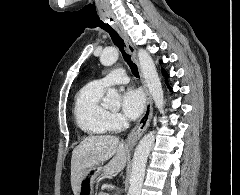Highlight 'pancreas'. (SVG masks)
Segmentation results:
<instances>
[{
    "mask_svg": "<svg viewBox=\"0 0 240 195\" xmlns=\"http://www.w3.org/2000/svg\"><path fill=\"white\" fill-rule=\"evenodd\" d=\"M99 195H109V193H104V191H101V193H99Z\"/></svg>",
    "mask_w": 240,
    "mask_h": 195,
    "instance_id": "pancreas-1",
    "label": "pancreas"
}]
</instances>
